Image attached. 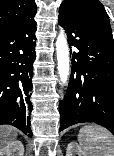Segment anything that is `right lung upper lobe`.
<instances>
[{
    "mask_svg": "<svg viewBox=\"0 0 114 156\" xmlns=\"http://www.w3.org/2000/svg\"><path fill=\"white\" fill-rule=\"evenodd\" d=\"M34 0H0V31L36 14Z\"/></svg>",
    "mask_w": 114,
    "mask_h": 156,
    "instance_id": "cb5924a9",
    "label": "right lung upper lobe"
}]
</instances>
